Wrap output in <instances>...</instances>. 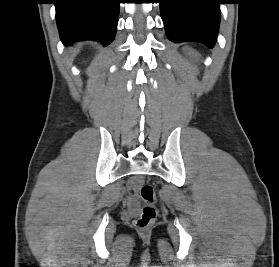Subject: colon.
I'll list each match as a JSON object with an SVG mask.
<instances>
[{"instance_id":"1","label":"colon","mask_w":279,"mask_h":267,"mask_svg":"<svg viewBox=\"0 0 279 267\" xmlns=\"http://www.w3.org/2000/svg\"><path fill=\"white\" fill-rule=\"evenodd\" d=\"M140 196L144 202L141 214L134 221V225L139 229L149 228L157 217L156 194L151 184L145 183L140 187Z\"/></svg>"}]
</instances>
